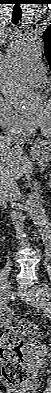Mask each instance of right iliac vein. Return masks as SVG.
Here are the masks:
<instances>
[{
    "label": "right iliac vein",
    "instance_id": "right-iliac-vein-1",
    "mask_svg": "<svg viewBox=\"0 0 51 393\" xmlns=\"http://www.w3.org/2000/svg\"><path fill=\"white\" fill-rule=\"evenodd\" d=\"M12 292V287L10 282H6L2 287L0 291V303H1V308L5 309L7 302L9 300V297Z\"/></svg>",
    "mask_w": 51,
    "mask_h": 393
}]
</instances>
